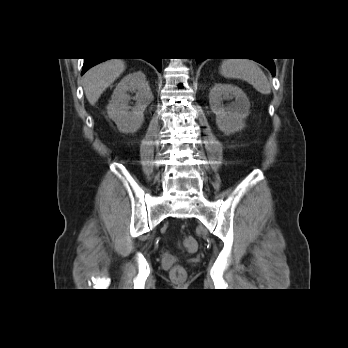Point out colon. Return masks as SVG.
Wrapping results in <instances>:
<instances>
[{
  "instance_id": "obj_1",
  "label": "colon",
  "mask_w": 348,
  "mask_h": 348,
  "mask_svg": "<svg viewBox=\"0 0 348 348\" xmlns=\"http://www.w3.org/2000/svg\"><path fill=\"white\" fill-rule=\"evenodd\" d=\"M181 247L183 250L187 251V252H195L197 250V242L195 241L194 238L192 237H185L181 240L180 243ZM172 275L174 277H178V276H183L184 275V270L181 266H175L172 271H171Z\"/></svg>"
}]
</instances>
